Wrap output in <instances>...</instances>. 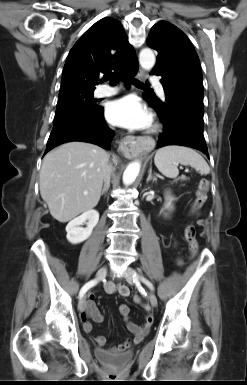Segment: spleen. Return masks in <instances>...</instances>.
<instances>
[{
    "label": "spleen",
    "mask_w": 247,
    "mask_h": 385,
    "mask_svg": "<svg viewBox=\"0 0 247 385\" xmlns=\"http://www.w3.org/2000/svg\"><path fill=\"white\" fill-rule=\"evenodd\" d=\"M158 170L168 178H176L179 174L178 164L189 165L201 175L210 173V167L205 159L195 150L186 146L169 145L160 148L154 157Z\"/></svg>",
    "instance_id": "1"
}]
</instances>
